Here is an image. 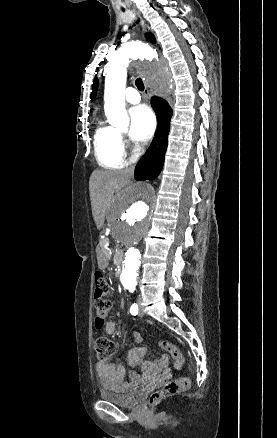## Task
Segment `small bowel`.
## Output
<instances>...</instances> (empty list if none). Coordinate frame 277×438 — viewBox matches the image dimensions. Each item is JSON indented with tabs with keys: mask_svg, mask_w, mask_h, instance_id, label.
I'll return each mask as SVG.
<instances>
[{
	"mask_svg": "<svg viewBox=\"0 0 277 438\" xmlns=\"http://www.w3.org/2000/svg\"><path fill=\"white\" fill-rule=\"evenodd\" d=\"M104 330L109 335H114L117 332V326L114 321L105 323ZM137 345L130 350L127 362L130 366H135L145 355L146 349L139 346L141 340L137 333H135ZM141 373L146 375L151 371H163L166 376H171L170 358L168 355H162L156 362H142ZM95 371L102 387L112 389L119 392L129 390L135 383L140 381L141 375L136 371L126 373L122 364L116 361H99L95 365ZM128 378V381L125 378Z\"/></svg>",
	"mask_w": 277,
	"mask_h": 438,
	"instance_id": "small-bowel-1",
	"label": "small bowel"
}]
</instances>
